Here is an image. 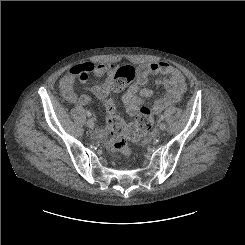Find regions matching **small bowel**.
<instances>
[{
	"label": "small bowel",
	"instance_id": "1",
	"mask_svg": "<svg viewBox=\"0 0 245 245\" xmlns=\"http://www.w3.org/2000/svg\"><path fill=\"white\" fill-rule=\"evenodd\" d=\"M76 67H82V72H75ZM63 77L61 90L63 98L71 104L87 105L91 102L90 96L86 94L77 95L75 84L77 80L87 82L91 74L97 80L91 87V92L100 100L106 101L111 92L114 91V80L123 72L125 67L119 68L116 64H90L76 66ZM86 74V78L80 77ZM150 75H162L163 78L157 80L158 85H162L165 94L153 105V111L162 112L166 107L178 103L186 91V82L183 74L167 62L154 61L141 64L136 69V77L122 95L121 101L125 110L130 115H134L140 106L144 105V99L152 96V90L148 86ZM108 134V128L103 127L99 130V136L104 138Z\"/></svg>",
	"mask_w": 245,
	"mask_h": 245
}]
</instances>
